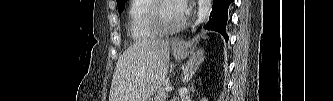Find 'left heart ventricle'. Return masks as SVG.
Here are the masks:
<instances>
[{
    "instance_id": "1",
    "label": "left heart ventricle",
    "mask_w": 333,
    "mask_h": 101,
    "mask_svg": "<svg viewBox=\"0 0 333 101\" xmlns=\"http://www.w3.org/2000/svg\"><path fill=\"white\" fill-rule=\"evenodd\" d=\"M159 15L161 23L165 28L175 26L183 17V14L178 10L174 2L164 3L160 8Z\"/></svg>"
}]
</instances>
